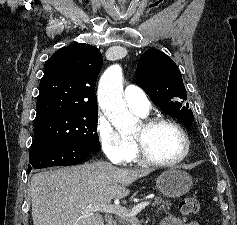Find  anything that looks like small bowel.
<instances>
[{
  "instance_id": "small-bowel-1",
  "label": "small bowel",
  "mask_w": 237,
  "mask_h": 225,
  "mask_svg": "<svg viewBox=\"0 0 237 225\" xmlns=\"http://www.w3.org/2000/svg\"><path fill=\"white\" fill-rule=\"evenodd\" d=\"M161 225H200V224L196 221H188L176 216H168L162 220Z\"/></svg>"
}]
</instances>
